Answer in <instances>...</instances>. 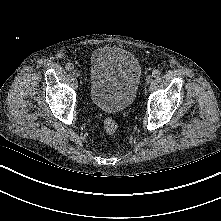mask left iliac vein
<instances>
[{"label": "left iliac vein", "instance_id": "4c4485c4", "mask_svg": "<svg viewBox=\"0 0 221 221\" xmlns=\"http://www.w3.org/2000/svg\"><path fill=\"white\" fill-rule=\"evenodd\" d=\"M145 81H146L147 84H150L153 81V77L151 75H149V76L146 77Z\"/></svg>", "mask_w": 221, "mask_h": 221}]
</instances>
